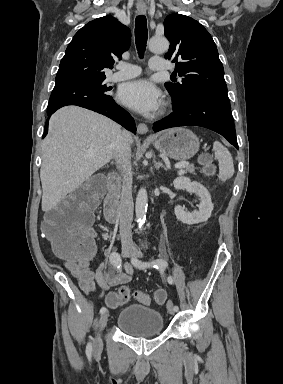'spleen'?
I'll list each match as a JSON object with an SVG mask.
<instances>
[{
	"label": "spleen",
	"mask_w": 283,
	"mask_h": 384,
	"mask_svg": "<svg viewBox=\"0 0 283 384\" xmlns=\"http://www.w3.org/2000/svg\"><path fill=\"white\" fill-rule=\"evenodd\" d=\"M213 152L215 160L219 162V178L225 182L228 178H232L234 174L233 158L229 150L222 146L220 142H214Z\"/></svg>",
	"instance_id": "obj_1"
}]
</instances>
